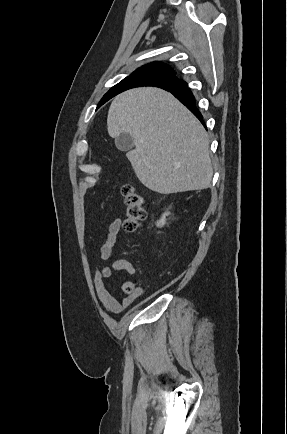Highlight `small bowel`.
Wrapping results in <instances>:
<instances>
[{"label": "small bowel", "mask_w": 287, "mask_h": 434, "mask_svg": "<svg viewBox=\"0 0 287 434\" xmlns=\"http://www.w3.org/2000/svg\"><path fill=\"white\" fill-rule=\"evenodd\" d=\"M121 225V220L116 218L107 227L105 238L101 244L99 252L101 261H107L111 258L113 247L121 231ZM118 271H127L132 273L134 272V268L127 260L116 259L109 265L100 263L94 277V285L100 303L106 310L115 314L123 312L142 295V289L137 288L135 292L125 297L121 301L115 298L109 290L107 280L111 279Z\"/></svg>", "instance_id": "1"}]
</instances>
